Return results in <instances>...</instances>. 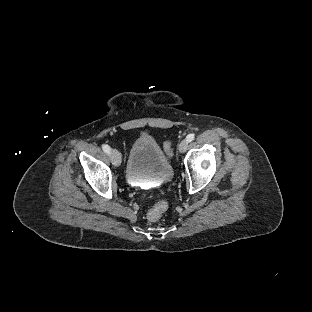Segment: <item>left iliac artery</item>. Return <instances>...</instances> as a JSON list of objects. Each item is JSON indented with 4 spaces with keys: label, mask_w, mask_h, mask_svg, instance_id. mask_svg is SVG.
<instances>
[{
    "label": "left iliac artery",
    "mask_w": 312,
    "mask_h": 312,
    "mask_svg": "<svg viewBox=\"0 0 312 312\" xmlns=\"http://www.w3.org/2000/svg\"><path fill=\"white\" fill-rule=\"evenodd\" d=\"M195 135L194 134H189L186 138L188 142H191L194 139Z\"/></svg>",
    "instance_id": "44dca946"
}]
</instances>
